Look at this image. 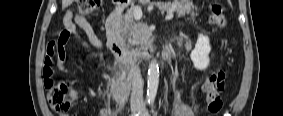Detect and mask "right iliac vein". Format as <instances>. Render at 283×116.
Here are the masks:
<instances>
[{
    "instance_id": "obj_1",
    "label": "right iliac vein",
    "mask_w": 283,
    "mask_h": 116,
    "mask_svg": "<svg viewBox=\"0 0 283 116\" xmlns=\"http://www.w3.org/2000/svg\"><path fill=\"white\" fill-rule=\"evenodd\" d=\"M131 111H132V115H135L136 112H137V108H136V107H133Z\"/></svg>"
}]
</instances>
